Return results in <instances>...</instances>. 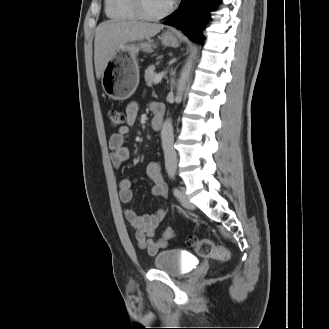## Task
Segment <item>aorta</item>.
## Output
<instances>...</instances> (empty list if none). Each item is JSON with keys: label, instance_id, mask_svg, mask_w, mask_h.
I'll return each instance as SVG.
<instances>
[{"label": "aorta", "instance_id": "1", "mask_svg": "<svg viewBox=\"0 0 329 329\" xmlns=\"http://www.w3.org/2000/svg\"><path fill=\"white\" fill-rule=\"evenodd\" d=\"M188 64L183 69L181 76L178 80L177 86V94H176V102H180L182 100V95L185 90L186 81L188 79L189 73ZM161 141L162 148L164 151V159H165V168L167 172H173L177 168V155L174 150V134H173V125L171 119H167L162 126L161 130Z\"/></svg>", "mask_w": 329, "mask_h": 329}]
</instances>
